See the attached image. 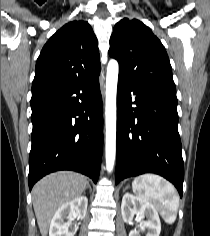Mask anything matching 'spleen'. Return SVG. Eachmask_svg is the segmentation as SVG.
Segmentation results:
<instances>
[{"label": "spleen", "mask_w": 210, "mask_h": 236, "mask_svg": "<svg viewBox=\"0 0 210 236\" xmlns=\"http://www.w3.org/2000/svg\"><path fill=\"white\" fill-rule=\"evenodd\" d=\"M132 189L142 200L154 205L166 223H174L179 197L171 183L158 175L144 174L133 180Z\"/></svg>", "instance_id": "obj_1"}]
</instances>
